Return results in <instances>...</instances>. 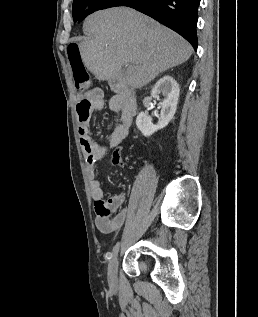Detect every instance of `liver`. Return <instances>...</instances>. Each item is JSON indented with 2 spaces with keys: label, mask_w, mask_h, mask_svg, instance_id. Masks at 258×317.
<instances>
[{
  "label": "liver",
  "mask_w": 258,
  "mask_h": 317,
  "mask_svg": "<svg viewBox=\"0 0 258 317\" xmlns=\"http://www.w3.org/2000/svg\"><path fill=\"white\" fill-rule=\"evenodd\" d=\"M83 30L90 34L79 44L83 64L98 80H108L111 88L120 82L140 88L188 60L193 50L180 34L128 6L89 14ZM125 62L132 64L127 76L121 74Z\"/></svg>",
  "instance_id": "liver-1"
}]
</instances>
